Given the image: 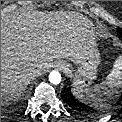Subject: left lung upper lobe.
<instances>
[{
  "label": "left lung upper lobe",
  "mask_w": 122,
  "mask_h": 122,
  "mask_svg": "<svg viewBox=\"0 0 122 122\" xmlns=\"http://www.w3.org/2000/svg\"><path fill=\"white\" fill-rule=\"evenodd\" d=\"M117 33L122 38V29H118Z\"/></svg>",
  "instance_id": "left-lung-upper-lobe-1"
}]
</instances>
